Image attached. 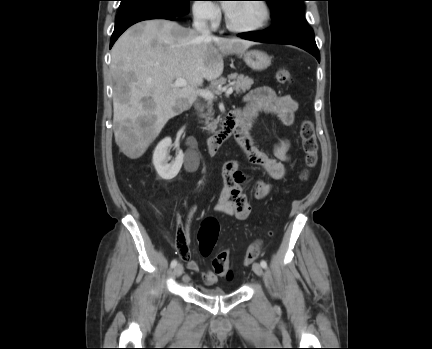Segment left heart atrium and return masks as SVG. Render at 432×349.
<instances>
[{"instance_id": "1", "label": "left heart atrium", "mask_w": 432, "mask_h": 349, "mask_svg": "<svg viewBox=\"0 0 432 349\" xmlns=\"http://www.w3.org/2000/svg\"><path fill=\"white\" fill-rule=\"evenodd\" d=\"M233 6V3L227 2L223 5L224 9L228 12Z\"/></svg>"}]
</instances>
